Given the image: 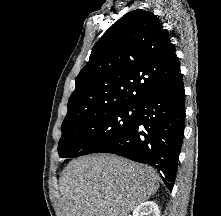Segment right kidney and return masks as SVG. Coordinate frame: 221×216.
<instances>
[{
	"mask_svg": "<svg viewBox=\"0 0 221 216\" xmlns=\"http://www.w3.org/2000/svg\"><path fill=\"white\" fill-rule=\"evenodd\" d=\"M132 216H160V210L155 202L146 201L134 209Z\"/></svg>",
	"mask_w": 221,
	"mask_h": 216,
	"instance_id": "obj_1",
	"label": "right kidney"
}]
</instances>
